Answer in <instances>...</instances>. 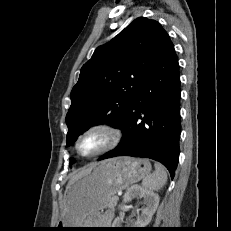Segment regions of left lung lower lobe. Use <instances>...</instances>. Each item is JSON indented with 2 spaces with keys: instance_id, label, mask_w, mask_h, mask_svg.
Instances as JSON below:
<instances>
[{
  "instance_id": "1",
  "label": "left lung lower lobe",
  "mask_w": 231,
  "mask_h": 231,
  "mask_svg": "<svg viewBox=\"0 0 231 231\" xmlns=\"http://www.w3.org/2000/svg\"><path fill=\"white\" fill-rule=\"evenodd\" d=\"M119 128V145L98 160L116 156L146 157L161 162L175 175L179 158L180 78L174 45L167 36L142 78Z\"/></svg>"
}]
</instances>
